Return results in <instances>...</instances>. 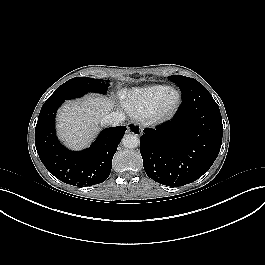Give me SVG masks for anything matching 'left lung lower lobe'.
<instances>
[{
  "label": "left lung lower lobe",
  "mask_w": 265,
  "mask_h": 265,
  "mask_svg": "<svg viewBox=\"0 0 265 265\" xmlns=\"http://www.w3.org/2000/svg\"><path fill=\"white\" fill-rule=\"evenodd\" d=\"M178 113L155 129H144L140 151L146 174L155 182L179 187L199 179L212 166L222 144V118L217 104H207L205 87L180 86Z\"/></svg>",
  "instance_id": "left-lung-lower-lobe-1"
}]
</instances>
